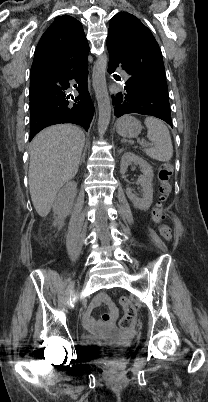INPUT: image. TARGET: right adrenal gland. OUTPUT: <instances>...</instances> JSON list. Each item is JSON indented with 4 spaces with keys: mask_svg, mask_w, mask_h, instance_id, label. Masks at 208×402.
I'll return each mask as SVG.
<instances>
[{
    "mask_svg": "<svg viewBox=\"0 0 208 402\" xmlns=\"http://www.w3.org/2000/svg\"><path fill=\"white\" fill-rule=\"evenodd\" d=\"M85 154H86V150H85V148H84V152H83V156H82V158H81V162H84V160H85Z\"/></svg>",
    "mask_w": 208,
    "mask_h": 402,
    "instance_id": "1",
    "label": "right adrenal gland"
}]
</instances>
